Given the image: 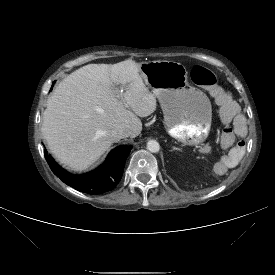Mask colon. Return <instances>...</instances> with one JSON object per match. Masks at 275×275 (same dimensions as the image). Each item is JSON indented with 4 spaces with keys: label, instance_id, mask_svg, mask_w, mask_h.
I'll list each match as a JSON object with an SVG mask.
<instances>
[{
    "label": "colon",
    "instance_id": "5ec220e1",
    "mask_svg": "<svg viewBox=\"0 0 275 275\" xmlns=\"http://www.w3.org/2000/svg\"><path fill=\"white\" fill-rule=\"evenodd\" d=\"M191 78L194 83L206 88L217 103L221 104L226 98V93L220 85L217 75L213 71L197 65L191 70Z\"/></svg>",
    "mask_w": 275,
    "mask_h": 275
}]
</instances>
